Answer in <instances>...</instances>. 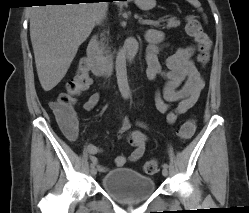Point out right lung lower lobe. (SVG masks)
<instances>
[{
	"instance_id": "1",
	"label": "right lung lower lobe",
	"mask_w": 249,
	"mask_h": 213,
	"mask_svg": "<svg viewBox=\"0 0 249 213\" xmlns=\"http://www.w3.org/2000/svg\"><path fill=\"white\" fill-rule=\"evenodd\" d=\"M44 2L42 3H54V4H66V3H77L79 4V2L83 1V0H43ZM92 1V0H91ZM104 1H110L112 2L113 0H104ZM93 3V2H92Z\"/></svg>"
}]
</instances>
